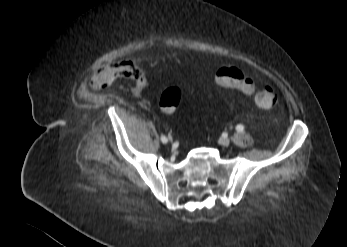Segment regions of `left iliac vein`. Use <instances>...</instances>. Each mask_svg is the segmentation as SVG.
Listing matches in <instances>:
<instances>
[{"label":"left iliac vein","instance_id":"1","mask_svg":"<svg viewBox=\"0 0 347 247\" xmlns=\"http://www.w3.org/2000/svg\"><path fill=\"white\" fill-rule=\"evenodd\" d=\"M219 143H220L222 146H229V144H230V139H228V138H220Z\"/></svg>","mask_w":347,"mask_h":247}]
</instances>
